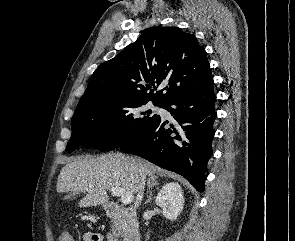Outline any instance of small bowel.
Segmentation results:
<instances>
[{
	"label": "small bowel",
	"mask_w": 295,
	"mask_h": 241,
	"mask_svg": "<svg viewBox=\"0 0 295 241\" xmlns=\"http://www.w3.org/2000/svg\"><path fill=\"white\" fill-rule=\"evenodd\" d=\"M83 241H117V240L111 236L104 237L101 234L86 233L83 235Z\"/></svg>",
	"instance_id": "c3829d8e"
}]
</instances>
